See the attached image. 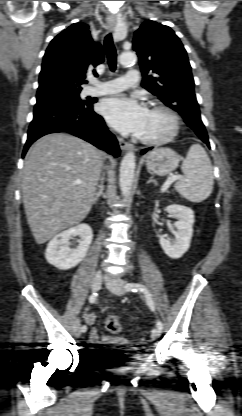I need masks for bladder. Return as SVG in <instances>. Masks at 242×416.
<instances>
[{"label":"bladder","instance_id":"bladder-1","mask_svg":"<svg viewBox=\"0 0 242 416\" xmlns=\"http://www.w3.org/2000/svg\"><path fill=\"white\" fill-rule=\"evenodd\" d=\"M117 368H120L121 366H116ZM128 367H129V365H128Z\"/></svg>","mask_w":242,"mask_h":416}]
</instances>
